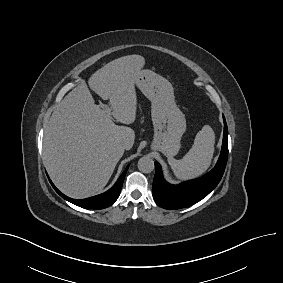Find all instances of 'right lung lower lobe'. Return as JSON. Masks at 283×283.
Segmentation results:
<instances>
[{
  "label": "right lung lower lobe",
  "mask_w": 283,
  "mask_h": 283,
  "mask_svg": "<svg viewBox=\"0 0 283 283\" xmlns=\"http://www.w3.org/2000/svg\"><path fill=\"white\" fill-rule=\"evenodd\" d=\"M128 167L124 170V172L122 173V175L119 177V179L116 181V183L114 184V186L112 188H110L107 192L102 193L100 195L97 196H93L90 198H86V199H82V200H76V199H72L67 197L66 195H64L63 193H61L52 183V181L49 179L52 187L55 189V191L61 196L63 197L65 200L79 206L85 209H104L110 205H112L117 198L119 197L122 185H123V181L126 175V172L128 170Z\"/></svg>",
  "instance_id": "right-lung-lower-lobe-1"
}]
</instances>
